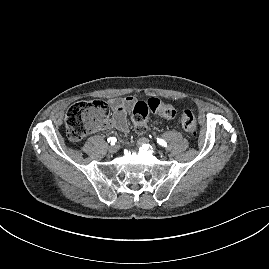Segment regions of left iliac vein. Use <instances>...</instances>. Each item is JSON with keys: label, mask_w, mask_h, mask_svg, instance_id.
<instances>
[{"label": "left iliac vein", "mask_w": 269, "mask_h": 269, "mask_svg": "<svg viewBox=\"0 0 269 269\" xmlns=\"http://www.w3.org/2000/svg\"><path fill=\"white\" fill-rule=\"evenodd\" d=\"M148 143H149V140L144 137L139 138L137 141L138 146H142L143 144H148Z\"/></svg>", "instance_id": "4c4485c4"}]
</instances>
